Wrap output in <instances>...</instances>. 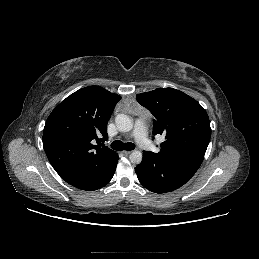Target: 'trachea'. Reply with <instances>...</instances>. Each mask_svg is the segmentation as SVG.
Returning <instances> with one entry per match:
<instances>
[{"label": "trachea", "instance_id": "obj_1", "mask_svg": "<svg viewBox=\"0 0 259 259\" xmlns=\"http://www.w3.org/2000/svg\"><path fill=\"white\" fill-rule=\"evenodd\" d=\"M111 147L114 149V150H117V151H122V150H127V151H131L135 148L134 144L133 143H123L122 141L120 140H116L114 141L112 144H111Z\"/></svg>", "mask_w": 259, "mask_h": 259}]
</instances>
